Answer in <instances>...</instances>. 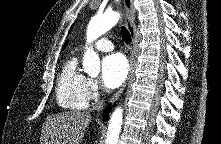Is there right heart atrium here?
Wrapping results in <instances>:
<instances>
[{
    "instance_id": "right-heart-atrium-1",
    "label": "right heart atrium",
    "mask_w": 221,
    "mask_h": 144,
    "mask_svg": "<svg viewBox=\"0 0 221 144\" xmlns=\"http://www.w3.org/2000/svg\"><path fill=\"white\" fill-rule=\"evenodd\" d=\"M100 84L96 79L88 78L86 82V95L89 100H97L100 96Z\"/></svg>"
}]
</instances>
